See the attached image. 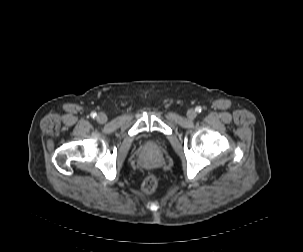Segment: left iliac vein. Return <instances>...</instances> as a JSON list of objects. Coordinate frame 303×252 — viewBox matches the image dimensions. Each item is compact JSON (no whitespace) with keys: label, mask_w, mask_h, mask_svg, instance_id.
I'll use <instances>...</instances> for the list:
<instances>
[{"label":"left iliac vein","mask_w":303,"mask_h":252,"mask_svg":"<svg viewBox=\"0 0 303 252\" xmlns=\"http://www.w3.org/2000/svg\"><path fill=\"white\" fill-rule=\"evenodd\" d=\"M187 116H188V118H189L190 120H193V119L196 118L197 113H196L195 110L191 109V110H189V111L187 112Z\"/></svg>","instance_id":"obj_1"}]
</instances>
